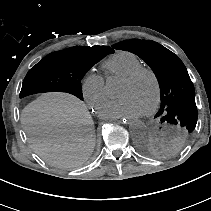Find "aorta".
<instances>
[{
    "instance_id": "1",
    "label": "aorta",
    "mask_w": 211,
    "mask_h": 211,
    "mask_svg": "<svg viewBox=\"0 0 211 211\" xmlns=\"http://www.w3.org/2000/svg\"><path fill=\"white\" fill-rule=\"evenodd\" d=\"M122 89L121 83L116 80V79H110L106 83V94L109 97H115ZM129 130L131 135H133L136 138H142L146 135L147 128L146 125L140 121V120H135L132 121L129 124Z\"/></svg>"
}]
</instances>
